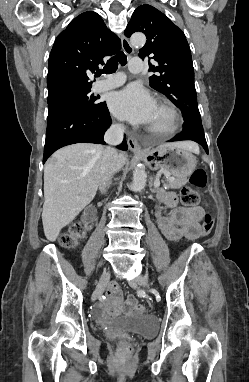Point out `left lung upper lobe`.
<instances>
[{
  "label": "left lung upper lobe",
  "mask_w": 249,
  "mask_h": 382,
  "mask_svg": "<svg viewBox=\"0 0 249 382\" xmlns=\"http://www.w3.org/2000/svg\"><path fill=\"white\" fill-rule=\"evenodd\" d=\"M143 32L147 41L139 57L154 60L150 86L166 95L182 111L184 122H201L194 85L190 47L184 33L163 13L141 5L133 13L124 34Z\"/></svg>",
  "instance_id": "1"
}]
</instances>
